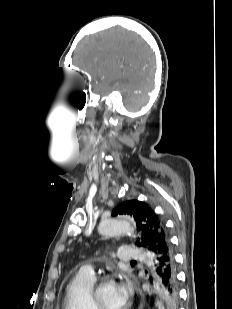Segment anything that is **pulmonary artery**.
I'll list each match as a JSON object with an SVG mask.
<instances>
[{"label":"pulmonary artery","instance_id":"1","mask_svg":"<svg viewBox=\"0 0 232 309\" xmlns=\"http://www.w3.org/2000/svg\"><path fill=\"white\" fill-rule=\"evenodd\" d=\"M119 258L123 262H128L130 260H146L149 258V255L141 250L134 249L129 246H122L120 248ZM80 272L89 276H94V268L91 265L82 266Z\"/></svg>","mask_w":232,"mask_h":309}]
</instances>
